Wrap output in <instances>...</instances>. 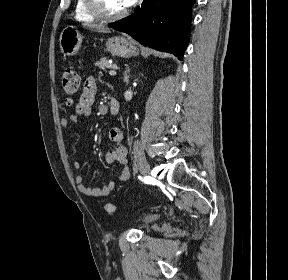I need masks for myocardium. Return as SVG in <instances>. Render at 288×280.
I'll return each instance as SVG.
<instances>
[{
	"instance_id": "obj_1",
	"label": "myocardium",
	"mask_w": 288,
	"mask_h": 280,
	"mask_svg": "<svg viewBox=\"0 0 288 280\" xmlns=\"http://www.w3.org/2000/svg\"><path fill=\"white\" fill-rule=\"evenodd\" d=\"M86 7L88 11L97 19L101 20H107V21H113L118 20L126 16L127 10L124 9L123 11L116 13V14H110L105 11L103 8L101 0H85Z\"/></svg>"
}]
</instances>
